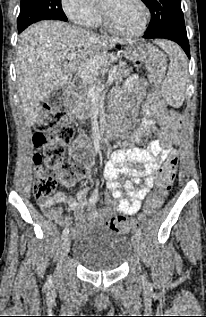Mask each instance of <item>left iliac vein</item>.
I'll use <instances>...</instances> for the list:
<instances>
[{
	"mask_svg": "<svg viewBox=\"0 0 206 317\" xmlns=\"http://www.w3.org/2000/svg\"><path fill=\"white\" fill-rule=\"evenodd\" d=\"M132 244L134 249L140 253V239L137 236H133L132 238Z\"/></svg>",
	"mask_w": 206,
	"mask_h": 317,
	"instance_id": "left-iliac-vein-1",
	"label": "left iliac vein"
}]
</instances>
